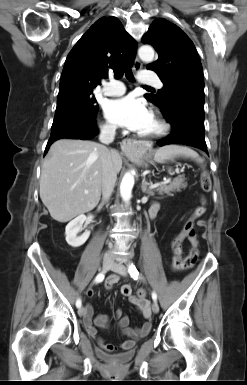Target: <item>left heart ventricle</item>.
<instances>
[{
	"instance_id": "b2bd125f",
	"label": "left heart ventricle",
	"mask_w": 247,
	"mask_h": 385,
	"mask_svg": "<svg viewBox=\"0 0 247 385\" xmlns=\"http://www.w3.org/2000/svg\"><path fill=\"white\" fill-rule=\"evenodd\" d=\"M156 129H157V123H156L155 119L152 117L150 122L146 126V128L144 130H142L140 133L141 134H147V133H151V132L155 131Z\"/></svg>"
}]
</instances>
